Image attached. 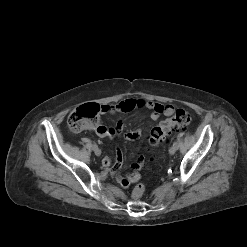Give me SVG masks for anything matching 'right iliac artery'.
<instances>
[{
    "label": "right iliac artery",
    "mask_w": 247,
    "mask_h": 247,
    "mask_svg": "<svg viewBox=\"0 0 247 247\" xmlns=\"http://www.w3.org/2000/svg\"><path fill=\"white\" fill-rule=\"evenodd\" d=\"M92 147L95 148V147H97V145L96 144H92Z\"/></svg>",
    "instance_id": "obj_1"
}]
</instances>
